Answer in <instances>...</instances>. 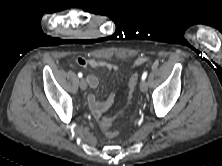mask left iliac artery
Instances as JSON below:
<instances>
[{"label":"left iliac artery","instance_id":"left-iliac-artery-1","mask_svg":"<svg viewBox=\"0 0 222 166\" xmlns=\"http://www.w3.org/2000/svg\"><path fill=\"white\" fill-rule=\"evenodd\" d=\"M147 77V71H145L143 74H142V80H145Z\"/></svg>","mask_w":222,"mask_h":166}]
</instances>
